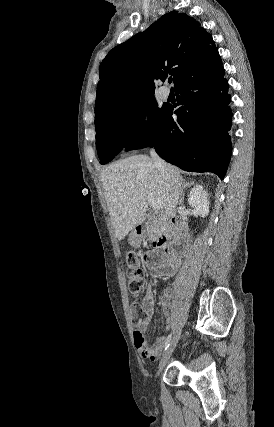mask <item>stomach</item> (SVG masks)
<instances>
[{
	"label": "stomach",
	"instance_id": "0dacf381",
	"mask_svg": "<svg viewBox=\"0 0 274 427\" xmlns=\"http://www.w3.org/2000/svg\"><path fill=\"white\" fill-rule=\"evenodd\" d=\"M143 237H144L143 233H137L136 229H133V231L129 233L128 241L130 245H133V247H138Z\"/></svg>",
	"mask_w": 274,
	"mask_h": 427
}]
</instances>
